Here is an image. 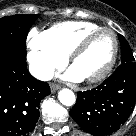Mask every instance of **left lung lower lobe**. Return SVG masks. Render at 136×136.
<instances>
[{"mask_svg": "<svg viewBox=\"0 0 136 136\" xmlns=\"http://www.w3.org/2000/svg\"><path fill=\"white\" fill-rule=\"evenodd\" d=\"M135 99L136 62L123 63L97 88L78 92L70 114L84 131L105 136L127 120Z\"/></svg>", "mask_w": 136, "mask_h": 136, "instance_id": "0a47b994", "label": "left lung lower lobe"}]
</instances>
